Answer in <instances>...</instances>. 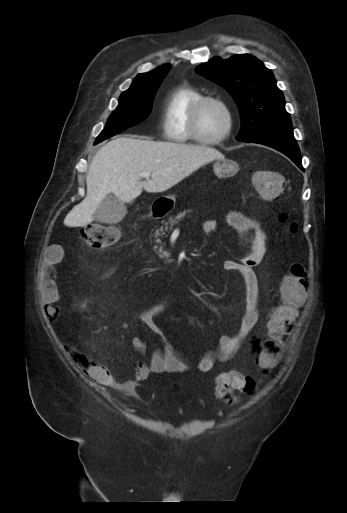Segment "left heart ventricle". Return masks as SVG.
<instances>
[{
    "label": "left heart ventricle",
    "mask_w": 347,
    "mask_h": 513,
    "mask_svg": "<svg viewBox=\"0 0 347 513\" xmlns=\"http://www.w3.org/2000/svg\"><path fill=\"white\" fill-rule=\"evenodd\" d=\"M227 128V115L223 107L217 103L205 104L199 116V131L205 138H216Z\"/></svg>",
    "instance_id": "left-heart-ventricle-1"
}]
</instances>
